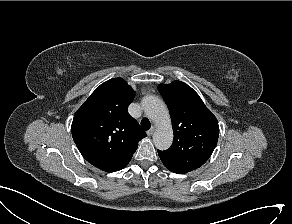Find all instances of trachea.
<instances>
[{
  "instance_id": "trachea-1",
  "label": "trachea",
  "mask_w": 292,
  "mask_h": 224,
  "mask_svg": "<svg viewBox=\"0 0 292 224\" xmlns=\"http://www.w3.org/2000/svg\"><path fill=\"white\" fill-rule=\"evenodd\" d=\"M141 126L144 130H149L151 127V123L147 118L141 120Z\"/></svg>"
}]
</instances>
